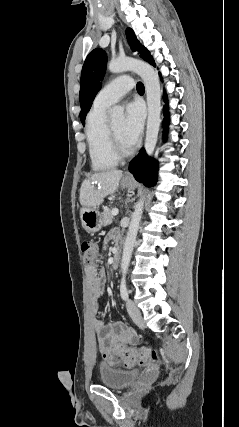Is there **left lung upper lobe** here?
<instances>
[{"instance_id": "left-lung-upper-lobe-1", "label": "left lung upper lobe", "mask_w": 239, "mask_h": 427, "mask_svg": "<svg viewBox=\"0 0 239 427\" xmlns=\"http://www.w3.org/2000/svg\"><path fill=\"white\" fill-rule=\"evenodd\" d=\"M128 43L133 51L141 53V57L150 64L155 65L149 51L137 40L133 30H126ZM107 55L104 50L96 48L87 56L81 74L80 88V119L85 124L86 114L89 111L92 102L102 86V79L106 71Z\"/></svg>"}]
</instances>
